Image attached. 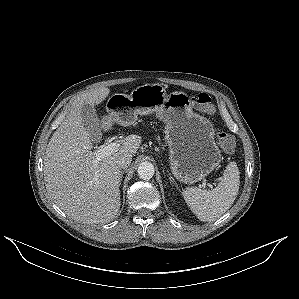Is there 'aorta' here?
Masks as SVG:
<instances>
[{
  "instance_id": "obj_1",
  "label": "aorta",
  "mask_w": 299,
  "mask_h": 299,
  "mask_svg": "<svg viewBox=\"0 0 299 299\" xmlns=\"http://www.w3.org/2000/svg\"><path fill=\"white\" fill-rule=\"evenodd\" d=\"M137 171L139 177L144 180L152 178L155 173L153 164L147 161L140 163Z\"/></svg>"
}]
</instances>
